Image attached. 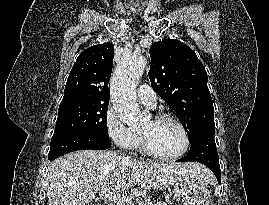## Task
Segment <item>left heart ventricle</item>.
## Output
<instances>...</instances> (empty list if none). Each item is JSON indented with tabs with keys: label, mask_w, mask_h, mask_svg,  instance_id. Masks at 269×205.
Here are the masks:
<instances>
[{
	"label": "left heart ventricle",
	"mask_w": 269,
	"mask_h": 205,
	"mask_svg": "<svg viewBox=\"0 0 269 205\" xmlns=\"http://www.w3.org/2000/svg\"><path fill=\"white\" fill-rule=\"evenodd\" d=\"M141 135L145 137L150 147L160 154H175L184 146L180 129L168 120L159 122L150 120L142 128Z\"/></svg>",
	"instance_id": "obj_1"
}]
</instances>
